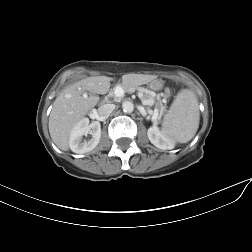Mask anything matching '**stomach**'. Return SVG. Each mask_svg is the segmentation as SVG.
<instances>
[{"label":"stomach","mask_w":252,"mask_h":252,"mask_svg":"<svg viewBox=\"0 0 252 252\" xmlns=\"http://www.w3.org/2000/svg\"><path fill=\"white\" fill-rule=\"evenodd\" d=\"M152 90H160L163 87V83L160 80H152L149 84Z\"/></svg>","instance_id":"1"}]
</instances>
